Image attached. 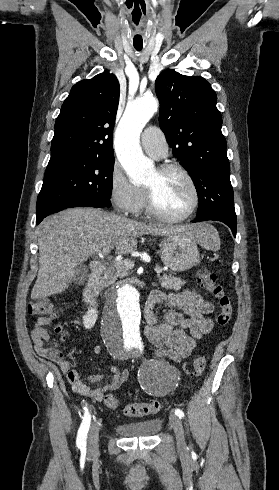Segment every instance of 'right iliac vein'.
Listing matches in <instances>:
<instances>
[{
  "label": "right iliac vein",
  "mask_w": 279,
  "mask_h": 490,
  "mask_svg": "<svg viewBox=\"0 0 279 490\" xmlns=\"http://www.w3.org/2000/svg\"><path fill=\"white\" fill-rule=\"evenodd\" d=\"M99 428H100L99 422L94 420L90 427L89 439H88V452L90 455H95L98 451Z\"/></svg>",
  "instance_id": "right-iliac-vein-1"
}]
</instances>
